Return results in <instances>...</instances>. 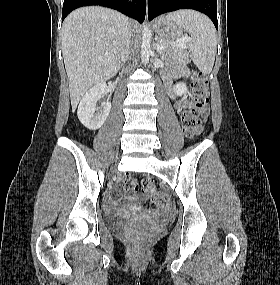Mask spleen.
<instances>
[{
    "label": "spleen",
    "instance_id": "1",
    "mask_svg": "<svg viewBox=\"0 0 280 285\" xmlns=\"http://www.w3.org/2000/svg\"><path fill=\"white\" fill-rule=\"evenodd\" d=\"M167 19L178 23L191 36L188 48L198 69L209 74L212 71L217 50L213 23L205 15L191 10L169 13Z\"/></svg>",
    "mask_w": 280,
    "mask_h": 285
}]
</instances>
